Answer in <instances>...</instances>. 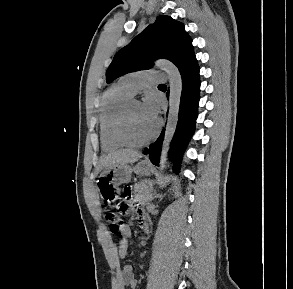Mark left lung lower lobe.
Returning <instances> with one entry per match:
<instances>
[{
	"instance_id": "0a47b994",
	"label": "left lung lower lobe",
	"mask_w": 293,
	"mask_h": 289,
	"mask_svg": "<svg viewBox=\"0 0 293 289\" xmlns=\"http://www.w3.org/2000/svg\"><path fill=\"white\" fill-rule=\"evenodd\" d=\"M182 77V93L179 108V119L174 138L171 143L170 157L174 160L173 170L179 172V164L182 153L194 133L195 121L197 118V107L199 102L200 80L199 66L196 57H192L180 69ZM168 97V93H167ZM164 138V131L156 142L145 150L151 162L159 163L161 145Z\"/></svg>"
}]
</instances>
